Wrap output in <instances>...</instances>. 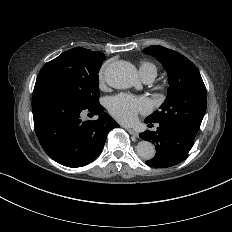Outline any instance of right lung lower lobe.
Masks as SVG:
<instances>
[{"label": "right lung lower lobe", "mask_w": 232, "mask_h": 232, "mask_svg": "<svg viewBox=\"0 0 232 232\" xmlns=\"http://www.w3.org/2000/svg\"><path fill=\"white\" fill-rule=\"evenodd\" d=\"M35 132L44 151L67 167H81L98 157L109 131L119 125L97 105L80 103L59 82L38 78L32 95ZM97 120H82L84 113Z\"/></svg>", "instance_id": "98d812e1"}]
</instances>
